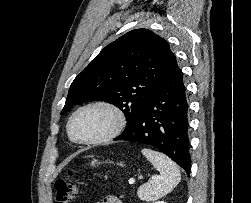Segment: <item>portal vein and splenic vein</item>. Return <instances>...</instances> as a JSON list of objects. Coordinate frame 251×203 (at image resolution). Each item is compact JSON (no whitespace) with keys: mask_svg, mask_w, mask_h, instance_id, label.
<instances>
[{"mask_svg":"<svg viewBox=\"0 0 251 203\" xmlns=\"http://www.w3.org/2000/svg\"><path fill=\"white\" fill-rule=\"evenodd\" d=\"M134 182H135V180H134L133 178H131V179L129 180V184H134Z\"/></svg>","mask_w":251,"mask_h":203,"instance_id":"1","label":"portal vein and splenic vein"}]
</instances>
